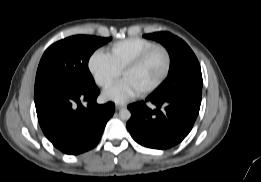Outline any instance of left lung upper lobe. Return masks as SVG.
<instances>
[{
	"label": "left lung upper lobe",
	"mask_w": 261,
	"mask_h": 182,
	"mask_svg": "<svg viewBox=\"0 0 261 182\" xmlns=\"http://www.w3.org/2000/svg\"><path fill=\"white\" fill-rule=\"evenodd\" d=\"M145 38L160 42L170 56V69L165 81L152 93L157 98H165L193 87H202L203 80L199 62L190 47L169 32L144 35Z\"/></svg>",
	"instance_id": "obj_1"
}]
</instances>
